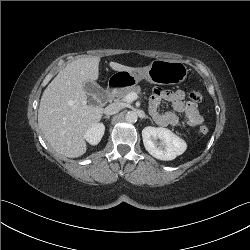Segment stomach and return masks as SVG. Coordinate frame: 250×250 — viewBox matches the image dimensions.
<instances>
[{
    "label": "stomach",
    "mask_w": 250,
    "mask_h": 250,
    "mask_svg": "<svg viewBox=\"0 0 250 250\" xmlns=\"http://www.w3.org/2000/svg\"><path fill=\"white\" fill-rule=\"evenodd\" d=\"M188 74V69L182 62L156 59L149 66L134 68L132 71H118L114 74L121 86H131L145 79L150 83L160 85H175L182 83Z\"/></svg>",
    "instance_id": "obj_1"
}]
</instances>
